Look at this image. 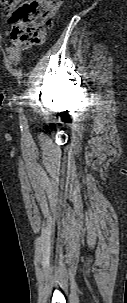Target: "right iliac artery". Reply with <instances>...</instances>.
I'll use <instances>...</instances> for the list:
<instances>
[{"label":"right iliac artery","instance_id":"82829eb1","mask_svg":"<svg viewBox=\"0 0 127 303\" xmlns=\"http://www.w3.org/2000/svg\"><path fill=\"white\" fill-rule=\"evenodd\" d=\"M20 120H21V122H24L25 121V116H24V114H23V109L22 108H20Z\"/></svg>","mask_w":127,"mask_h":303}]
</instances>
